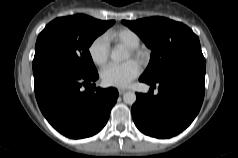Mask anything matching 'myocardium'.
Segmentation results:
<instances>
[{
	"label": "myocardium",
	"mask_w": 238,
	"mask_h": 158,
	"mask_svg": "<svg viewBox=\"0 0 238 158\" xmlns=\"http://www.w3.org/2000/svg\"><path fill=\"white\" fill-rule=\"evenodd\" d=\"M129 51H130V54L137 59L142 60L145 57V52L139 47L129 48Z\"/></svg>",
	"instance_id": "myocardium-1"
}]
</instances>
